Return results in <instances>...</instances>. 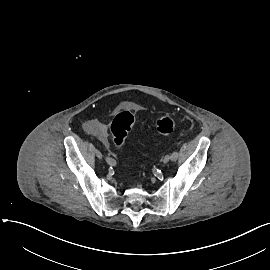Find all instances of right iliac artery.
<instances>
[{
	"mask_svg": "<svg viewBox=\"0 0 270 270\" xmlns=\"http://www.w3.org/2000/svg\"><path fill=\"white\" fill-rule=\"evenodd\" d=\"M106 162L111 166L116 165V161L113 158L109 157V156H106Z\"/></svg>",
	"mask_w": 270,
	"mask_h": 270,
	"instance_id": "1",
	"label": "right iliac artery"
}]
</instances>
